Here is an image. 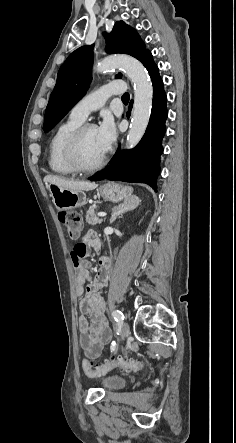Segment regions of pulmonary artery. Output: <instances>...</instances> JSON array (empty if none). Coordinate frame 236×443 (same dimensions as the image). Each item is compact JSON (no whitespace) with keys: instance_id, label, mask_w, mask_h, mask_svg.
Returning <instances> with one entry per match:
<instances>
[{"instance_id":"1","label":"pulmonary artery","mask_w":236,"mask_h":443,"mask_svg":"<svg viewBox=\"0 0 236 443\" xmlns=\"http://www.w3.org/2000/svg\"><path fill=\"white\" fill-rule=\"evenodd\" d=\"M124 90L122 81L110 82L78 101L71 109L70 116L84 121L89 113L99 109L109 96L121 94Z\"/></svg>"}]
</instances>
